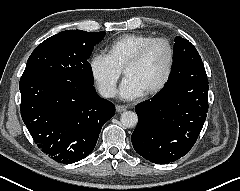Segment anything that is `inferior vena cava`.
<instances>
[{
	"label": "inferior vena cava",
	"mask_w": 240,
	"mask_h": 191,
	"mask_svg": "<svg viewBox=\"0 0 240 191\" xmlns=\"http://www.w3.org/2000/svg\"><path fill=\"white\" fill-rule=\"evenodd\" d=\"M100 94L106 98L114 97L115 90L113 88L102 89L100 90Z\"/></svg>",
	"instance_id": "1"
}]
</instances>
